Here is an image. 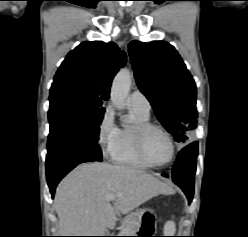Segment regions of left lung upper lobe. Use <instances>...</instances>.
Segmentation results:
<instances>
[{
  "label": "left lung upper lobe",
  "mask_w": 248,
  "mask_h": 237,
  "mask_svg": "<svg viewBox=\"0 0 248 237\" xmlns=\"http://www.w3.org/2000/svg\"><path fill=\"white\" fill-rule=\"evenodd\" d=\"M137 85L166 130L186 142L197 127L195 82L175 48L164 41L129 44Z\"/></svg>",
  "instance_id": "left-lung-upper-lobe-1"
}]
</instances>
